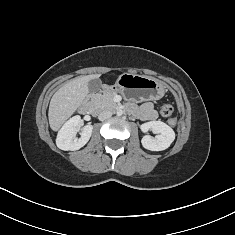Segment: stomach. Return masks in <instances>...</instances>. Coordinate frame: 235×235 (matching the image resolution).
<instances>
[{
  "instance_id": "1",
  "label": "stomach",
  "mask_w": 235,
  "mask_h": 235,
  "mask_svg": "<svg viewBox=\"0 0 235 235\" xmlns=\"http://www.w3.org/2000/svg\"><path fill=\"white\" fill-rule=\"evenodd\" d=\"M108 89L121 93L128 101L136 103L158 100L165 93V85L158 79L130 73L120 75Z\"/></svg>"
}]
</instances>
